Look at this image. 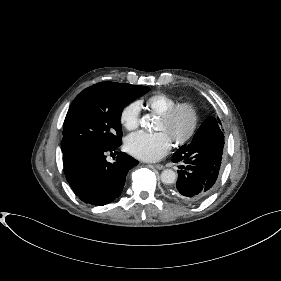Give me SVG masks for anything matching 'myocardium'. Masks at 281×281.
Segmentation results:
<instances>
[{"label":"myocardium","instance_id":"1","mask_svg":"<svg viewBox=\"0 0 281 281\" xmlns=\"http://www.w3.org/2000/svg\"><path fill=\"white\" fill-rule=\"evenodd\" d=\"M186 112L190 116V125L188 130L180 137L173 141L176 147L182 146L189 142L195 135L199 125V114L196 106L191 102H181L174 105L166 112L159 115V118L165 122H170L178 113Z\"/></svg>","mask_w":281,"mask_h":281}]
</instances>
